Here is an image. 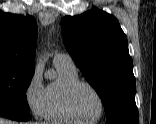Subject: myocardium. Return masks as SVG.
<instances>
[{"mask_svg": "<svg viewBox=\"0 0 156 124\" xmlns=\"http://www.w3.org/2000/svg\"><path fill=\"white\" fill-rule=\"evenodd\" d=\"M81 87H87L90 90H92L98 96V98L100 100V104H101L100 113L96 118H94L92 120L84 119L77 112V110L75 108L74 97H75L77 90ZM65 101H66V106H67L69 113L73 116V118H75L80 123L89 124V123L98 122L103 117L105 110H106L105 99H104L103 95L101 94V92L94 85H92L91 83H89L87 81H83V80L76 81L67 87L66 93H65Z\"/></svg>", "mask_w": 156, "mask_h": 124, "instance_id": "obj_1", "label": "myocardium"}]
</instances>
